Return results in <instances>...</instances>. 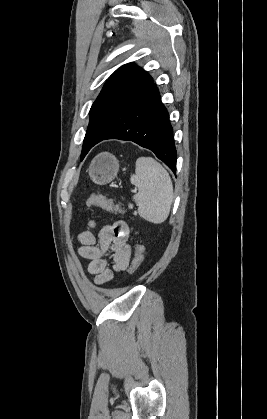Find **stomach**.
Segmentation results:
<instances>
[{"mask_svg": "<svg viewBox=\"0 0 267 419\" xmlns=\"http://www.w3.org/2000/svg\"><path fill=\"white\" fill-rule=\"evenodd\" d=\"M118 170L119 162L109 152H102L96 155L88 168L92 181L100 185L111 182L116 177Z\"/></svg>", "mask_w": 267, "mask_h": 419, "instance_id": "0dacf381", "label": "stomach"}]
</instances>
